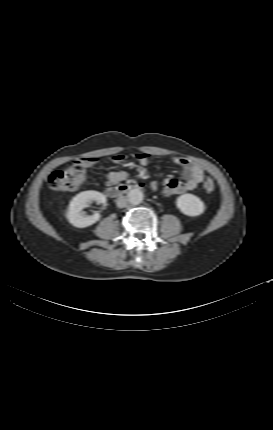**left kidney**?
<instances>
[{"mask_svg":"<svg viewBox=\"0 0 273 430\" xmlns=\"http://www.w3.org/2000/svg\"><path fill=\"white\" fill-rule=\"evenodd\" d=\"M177 208L187 216H199L205 211L204 202L193 194H183L176 200Z\"/></svg>","mask_w":273,"mask_h":430,"instance_id":"obj_1","label":"left kidney"}]
</instances>
